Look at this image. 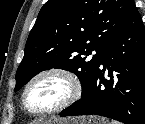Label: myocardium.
I'll return each instance as SVG.
<instances>
[{
    "label": "myocardium",
    "instance_id": "obj_1",
    "mask_svg": "<svg viewBox=\"0 0 145 124\" xmlns=\"http://www.w3.org/2000/svg\"><path fill=\"white\" fill-rule=\"evenodd\" d=\"M60 78L67 85L66 96L57 104L40 110L32 109L27 103V94L30 89L39 81L46 78ZM82 94V83L78 76L72 71L62 67H50L36 73L24 86L20 102L24 112L33 117H44L65 110L74 104Z\"/></svg>",
    "mask_w": 145,
    "mask_h": 124
}]
</instances>
